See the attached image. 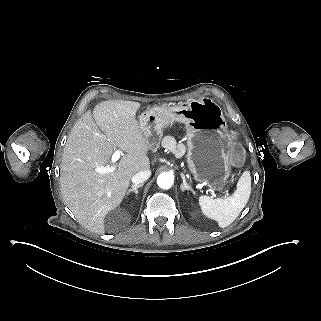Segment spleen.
<instances>
[{"mask_svg":"<svg viewBox=\"0 0 321 321\" xmlns=\"http://www.w3.org/2000/svg\"><path fill=\"white\" fill-rule=\"evenodd\" d=\"M250 192V173L245 171L238 180L236 190L229 198L222 200L200 196L198 203L201 213L204 217L216 221L220 228H225L234 222L246 206Z\"/></svg>","mask_w":321,"mask_h":321,"instance_id":"spleen-1","label":"spleen"}]
</instances>
